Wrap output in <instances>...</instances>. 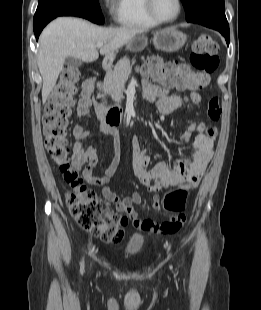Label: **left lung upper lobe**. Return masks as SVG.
Instances as JSON below:
<instances>
[{
	"instance_id": "5c2ea615",
	"label": "left lung upper lobe",
	"mask_w": 261,
	"mask_h": 310,
	"mask_svg": "<svg viewBox=\"0 0 261 310\" xmlns=\"http://www.w3.org/2000/svg\"><path fill=\"white\" fill-rule=\"evenodd\" d=\"M188 22L202 21L227 24L224 0H181Z\"/></svg>"
}]
</instances>
